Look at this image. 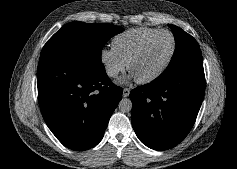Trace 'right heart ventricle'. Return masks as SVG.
<instances>
[{
	"label": "right heart ventricle",
	"mask_w": 237,
	"mask_h": 169,
	"mask_svg": "<svg viewBox=\"0 0 237 169\" xmlns=\"http://www.w3.org/2000/svg\"><path fill=\"white\" fill-rule=\"evenodd\" d=\"M158 29L141 27L127 30L114 37L112 48L116 53L127 62L138 47Z\"/></svg>",
	"instance_id": "right-heart-ventricle-1"
}]
</instances>
